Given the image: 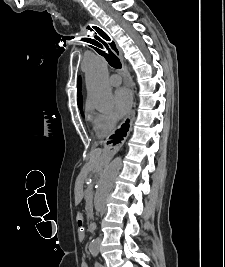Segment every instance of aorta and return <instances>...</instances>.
I'll list each match as a JSON object with an SVG mask.
<instances>
[{"instance_id":"aorta-1","label":"aorta","mask_w":225,"mask_h":267,"mask_svg":"<svg viewBox=\"0 0 225 267\" xmlns=\"http://www.w3.org/2000/svg\"><path fill=\"white\" fill-rule=\"evenodd\" d=\"M88 104L100 111L107 110L113 103V95L108 84V65L102 57L89 60L85 70ZM122 167V158H115L102 172L97 184L94 207L97 213L105 210L107 199L115 185L116 178ZM100 245L98 239L90 243V250L97 251Z\"/></svg>"}]
</instances>
